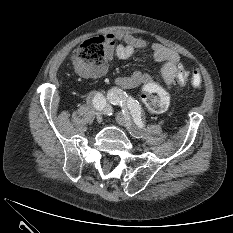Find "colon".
I'll use <instances>...</instances> for the list:
<instances>
[{"label":"colon","instance_id":"colon-1","mask_svg":"<svg viewBox=\"0 0 233 233\" xmlns=\"http://www.w3.org/2000/svg\"><path fill=\"white\" fill-rule=\"evenodd\" d=\"M107 40L104 37L92 38L82 42L74 53V62L82 75H96L101 72L105 64ZM191 83L194 87H200L202 77L195 68L188 71L179 69L175 84L184 86ZM142 102L145 108L152 113L166 111L170 104L168 93L156 83L145 85L142 93Z\"/></svg>","mask_w":233,"mask_h":233}]
</instances>
